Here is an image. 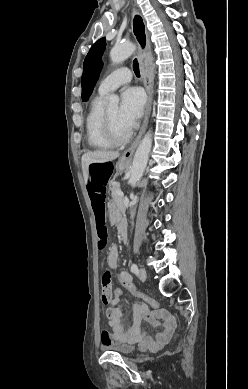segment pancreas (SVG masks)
<instances>
[{
    "instance_id": "obj_1",
    "label": "pancreas",
    "mask_w": 248,
    "mask_h": 389,
    "mask_svg": "<svg viewBox=\"0 0 248 389\" xmlns=\"http://www.w3.org/2000/svg\"><path fill=\"white\" fill-rule=\"evenodd\" d=\"M110 189L113 203L119 210L123 211L125 209L123 205V197L117 194V191H120V184L117 182H111Z\"/></svg>"
}]
</instances>
